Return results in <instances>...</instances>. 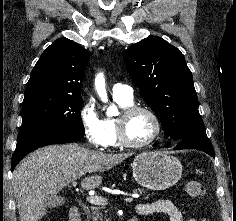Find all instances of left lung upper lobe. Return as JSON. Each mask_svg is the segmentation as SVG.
<instances>
[{
    "instance_id": "1",
    "label": "left lung upper lobe",
    "mask_w": 236,
    "mask_h": 221,
    "mask_svg": "<svg viewBox=\"0 0 236 221\" xmlns=\"http://www.w3.org/2000/svg\"><path fill=\"white\" fill-rule=\"evenodd\" d=\"M141 95L160 117L167 136L206 135L198 111L193 78L179 49L158 36L136 43L123 53Z\"/></svg>"
}]
</instances>
